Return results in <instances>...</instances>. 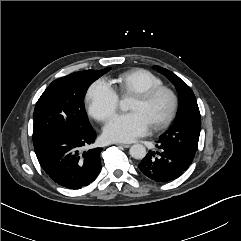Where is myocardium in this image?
<instances>
[{
    "instance_id": "1",
    "label": "myocardium",
    "mask_w": 241,
    "mask_h": 241,
    "mask_svg": "<svg viewBox=\"0 0 241 241\" xmlns=\"http://www.w3.org/2000/svg\"><path fill=\"white\" fill-rule=\"evenodd\" d=\"M160 94H166L170 99V107L167 115L159 122H156L152 127L156 130L167 128L174 120L178 109V97L176 93L165 85L155 86L134 95L135 98L143 102H151Z\"/></svg>"
}]
</instances>
